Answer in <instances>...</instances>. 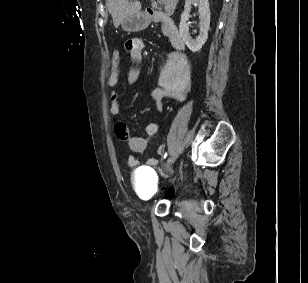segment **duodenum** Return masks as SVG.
Segmentation results:
<instances>
[{"label": "duodenum", "mask_w": 308, "mask_h": 283, "mask_svg": "<svg viewBox=\"0 0 308 283\" xmlns=\"http://www.w3.org/2000/svg\"><path fill=\"white\" fill-rule=\"evenodd\" d=\"M145 16L149 22H159L165 26L170 43L177 52H181L184 50L185 47L184 40L182 38L178 26L176 25V23L172 18L152 8H148L146 10Z\"/></svg>", "instance_id": "duodenum-1"}]
</instances>
